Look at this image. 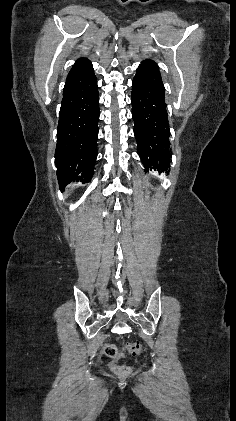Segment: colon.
Returning a JSON list of instances; mask_svg holds the SVG:
<instances>
[{"label": "colon", "mask_w": 236, "mask_h": 421, "mask_svg": "<svg viewBox=\"0 0 236 421\" xmlns=\"http://www.w3.org/2000/svg\"><path fill=\"white\" fill-rule=\"evenodd\" d=\"M124 350L133 355H139L143 350V346L139 342H131L125 345ZM104 354L111 359H119L124 356V351L118 350L112 344H106L104 346ZM112 368L113 371L119 376H127L131 372V368L129 366L120 364L118 362H115Z\"/></svg>", "instance_id": "5ec220e1"}]
</instances>
